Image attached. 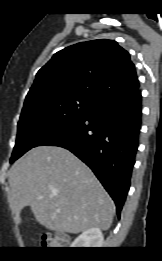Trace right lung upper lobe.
Returning <instances> with one entry per match:
<instances>
[{"label": "right lung upper lobe", "mask_w": 162, "mask_h": 261, "mask_svg": "<svg viewBox=\"0 0 162 261\" xmlns=\"http://www.w3.org/2000/svg\"><path fill=\"white\" fill-rule=\"evenodd\" d=\"M139 88L129 53L114 40L78 43L54 54L37 73L26 99L75 94L96 102Z\"/></svg>", "instance_id": "obj_1"}]
</instances>
